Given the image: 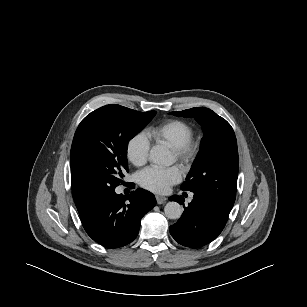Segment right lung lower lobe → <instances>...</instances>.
<instances>
[{"instance_id": "1", "label": "right lung lower lobe", "mask_w": 307, "mask_h": 307, "mask_svg": "<svg viewBox=\"0 0 307 307\" xmlns=\"http://www.w3.org/2000/svg\"><path fill=\"white\" fill-rule=\"evenodd\" d=\"M156 204L154 195L138 188L129 198L115 191L79 212L87 234L107 248H118L132 242L142 217Z\"/></svg>"}]
</instances>
